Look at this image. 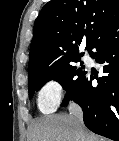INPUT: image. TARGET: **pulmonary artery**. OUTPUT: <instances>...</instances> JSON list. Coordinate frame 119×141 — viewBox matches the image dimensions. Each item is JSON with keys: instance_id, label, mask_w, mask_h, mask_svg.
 I'll list each match as a JSON object with an SVG mask.
<instances>
[{"instance_id": "pulmonary-artery-1", "label": "pulmonary artery", "mask_w": 119, "mask_h": 141, "mask_svg": "<svg viewBox=\"0 0 119 141\" xmlns=\"http://www.w3.org/2000/svg\"><path fill=\"white\" fill-rule=\"evenodd\" d=\"M83 60H84L85 62H89V61H90V58H89L88 56H84V57H83Z\"/></svg>"}]
</instances>
